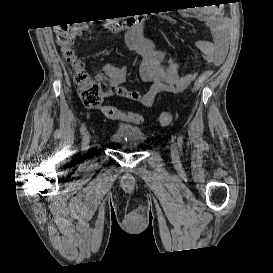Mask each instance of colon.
I'll list each match as a JSON object with an SVG mask.
<instances>
[{"label":"colon","instance_id":"1","mask_svg":"<svg viewBox=\"0 0 273 273\" xmlns=\"http://www.w3.org/2000/svg\"><path fill=\"white\" fill-rule=\"evenodd\" d=\"M89 20L72 22L61 27L56 33L57 44L65 60L72 67L73 81L78 87L79 97L82 103L90 108L100 107L103 100V89L100 83L94 80L85 70L83 63L77 57L74 50L75 40L87 28ZM210 73H202L194 84V90H198L208 79ZM104 116L112 120H121L124 117L122 111L114 106L102 107ZM127 120L134 123H141L143 118L140 114L130 112L126 115ZM172 121L170 112H162L158 116V123L162 126L169 125Z\"/></svg>","mask_w":273,"mask_h":273}]
</instances>
